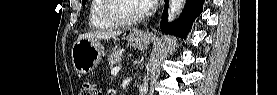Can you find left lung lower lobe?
Wrapping results in <instances>:
<instances>
[{"mask_svg":"<svg viewBox=\"0 0 277 95\" xmlns=\"http://www.w3.org/2000/svg\"><path fill=\"white\" fill-rule=\"evenodd\" d=\"M203 3L204 0H187L181 19L168 25V0H165L163 19L160 22L162 31L175 34L183 38L184 35L187 34L195 18L201 14Z\"/></svg>","mask_w":277,"mask_h":95,"instance_id":"obj_1","label":"left lung lower lobe"}]
</instances>
